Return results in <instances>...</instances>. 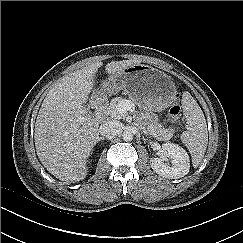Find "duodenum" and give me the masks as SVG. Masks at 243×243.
I'll use <instances>...</instances> for the list:
<instances>
[{"mask_svg":"<svg viewBox=\"0 0 243 243\" xmlns=\"http://www.w3.org/2000/svg\"><path fill=\"white\" fill-rule=\"evenodd\" d=\"M93 105L96 111V118L100 121L104 120L108 106V97L105 95H97L94 98Z\"/></svg>","mask_w":243,"mask_h":243,"instance_id":"410a0bca","label":"duodenum"}]
</instances>
